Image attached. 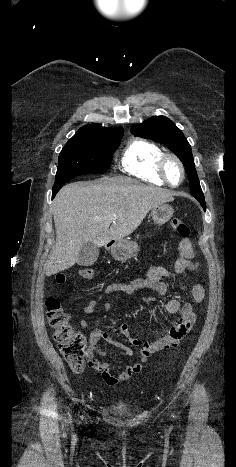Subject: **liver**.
<instances>
[{
	"instance_id": "liver-1",
	"label": "liver",
	"mask_w": 236,
	"mask_h": 467,
	"mask_svg": "<svg viewBox=\"0 0 236 467\" xmlns=\"http://www.w3.org/2000/svg\"><path fill=\"white\" fill-rule=\"evenodd\" d=\"M174 200L169 190L130 178H109L64 186L53 201L56 244L44 270L46 276L72 267L81 247H97L131 234L155 206ZM115 215L111 220L109 216Z\"/></svg>"
}]
</instances>
